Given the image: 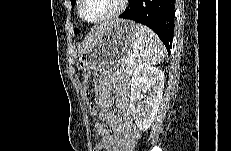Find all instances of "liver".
<instances>
[{"label": "liver", "mask_w": 231, "mask_h": 151, "mask_svg": "<svg viewBox=\"0 0 231 151\" xmlns=\"http://www.w3.org/2000/svg\"><path fill=\"white\" fill-rule=\"evenodd\" d=\"M110 23H103L94 30L84 39L83 44L79 48V53L83 54L86 50H88L91 46H93L105 32V29Z\"/></svg>", "instance_id": "1"}]
</instances>
